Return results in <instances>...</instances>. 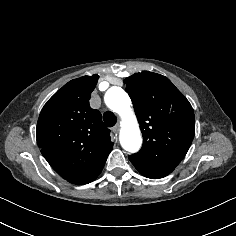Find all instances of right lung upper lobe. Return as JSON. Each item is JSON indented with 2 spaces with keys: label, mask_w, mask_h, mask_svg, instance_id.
I'll return each mask as SVG.
<instances>
[{
  "label": "right lung upper lobe",
  "mask_w": 236,
  "mask_h": 236,
  "mask_svg": "<svg viewBox=\"0 0 236 236\" xmlns=\"http://www.w3.org/2000/svg\"><path fill=\"white\" fill-rule=\"evenodd\" d=\"M98 75L71 80L44 105L37 123V143L64 179L97 174L113 148L101 114L89 106Z\"/></svg>",
  "instance_id": "cb5924a9"
}]
</instances>
